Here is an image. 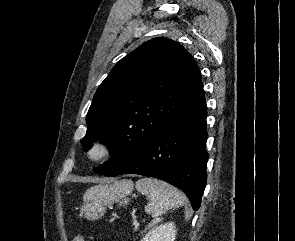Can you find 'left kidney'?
<instances>
[{
  "label": "left kidney",
  "instance_id": "left-kidney-1",
  "mask_svg": "<svg viewBox=\"0 0 295 241\" xmlns=\"http://www.w3.org/2000/svg\"><path fill=\"white\" fill-rule=\"evenodd\" d=\"M175 229L176 226L173 222L162 224L149 232L141 241H174Z\"/></svg>",
  "mask_w": 295,
  "mask_h": 241
}]
</instances>
